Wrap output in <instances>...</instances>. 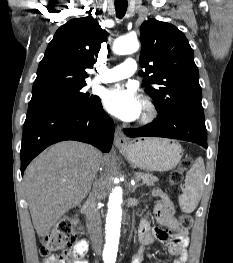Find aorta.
<instances>
[{
    "instance_id": "1",
    "label": "aorta",
    "mask_w": 233,
    "mask_h": 263,
    "mask_svg": "<svg viewBox=\"0 0 233 263\" xmlns=\"http://www.w3.org/2000/svg\"><path fill=\"white\" fill-rule=\"evenodd\" d=\"M139 49L137 38L124 36L116 39L113 44V52L117 55H125L134 53ZM108 192V213L106 217V244L104 247V257L109 260H114L117 255L119 237H120V222L122 216L121 204L122 190L119 186H109Z\"/></svg>"
}]
</instances>
